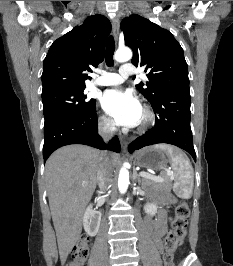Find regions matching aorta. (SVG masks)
Wrapping results in <instances>:
<instances>
[{
	"label": "aorta",
	"instance_id": "aorta-1",
	"mask_svg": "<svg viewBox=\"0 0 233 266\" xmlns=\"http://www.w3.org/2000/svg\"><path fill=\"white\" fill-rule=\"evenodd\" d=\"M132 58V51L129 48H119L114 59L117 62H126ZM129 185V171L127 169V163H124L123 167L120 169L118 177V189L121 193H125Z\"/></svg>",
	"mask_w": 233,
	"mask_h": 266
}]
</instances>
